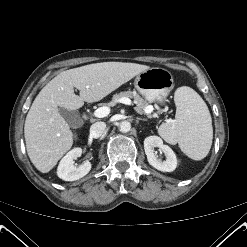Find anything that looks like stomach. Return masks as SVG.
<instances>
[{
  "label": "stomach",
  "instance_id": "0dacf381",
  "mask_svg": "<svg viewBox=\"0 0 247 247\" xmlns=\"http://www.w3.org/2000/svg\"><path fill=\"white\" fill-rule=\"evenodd\" d=\"M134 86L147 101L164 103L174 87V79L168 70L153 67L138 74Z\"/></svg>",
  "mask_w": 247,
  "mask_h": 247
}]
</instances>
